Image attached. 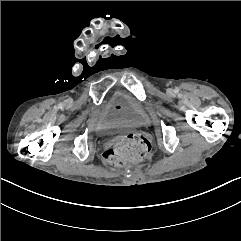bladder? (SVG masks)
<instances>
[{"label":"bladder","instance_id":"obj_1","mask_svg":"<svg viewBox=\"0 0 241 241\" xmlns=\"http://www.w3.org/2000/svg\"><path fill=\"white\" fill-rule=\"evenodd\" d=\"M105 121L112 126L134 125L141 121V110L137 102L128 94L115 93L104 111Z\"/></svg>","mask_w":241,"mask_h":241}]
</instances>
